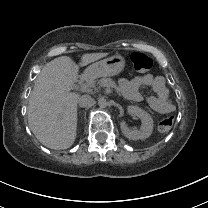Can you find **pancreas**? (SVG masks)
I'll return each instance as SVG.
<instances>
[{"instance_id":"pancreas-1","label":"pancreas","mask_w":208,"mask_h":208,"mask_svg":"<svg viewBox=\"0 0 208 208\" xmlns=\"http://www.w3.org/2000/svg\"><path fill=\"white\" fill-rule=\"evenodd\" d=\"M105 78H102L100 80H88L86 83V86L83 87L85 91L92 92L94 90H98V88L103 86V83L105 82Z\"/></svg>"}]
</instances>
